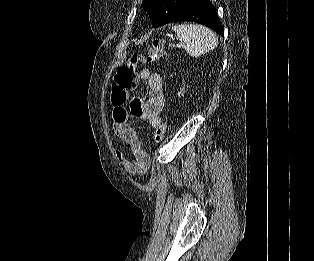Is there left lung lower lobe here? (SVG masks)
<instances>
[{
    "instance_id": "1",
    "label": "left lung lower lobe",
    "mask_w": 314,
    "mask_h": 261,
    "mask_svg": "<svg viewBox=\"0 0 314 261\" xmlns=\"http://www.w3.org/2000/svg\"><path fill=\"white\" fill-rule=\"evenodd\" d=\"M184 21L198 22L213 29L220 35L224 34L223 26L217 16L215 7L209 0H184L168 23Z\"/></svg>"
}]
</instances>
